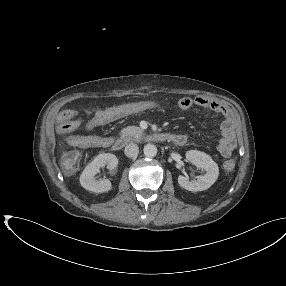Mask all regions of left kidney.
I'll list each match as a JSON object with an SVG mask.
<instances>
[{"label":"left kidney","instance_id":"left-kidney-1","mask_svg":"<svg viewBox=\"0 0 286 286\" xmlns=\"http://www.w3.org/2000/svg\"><path fill=\"white\" fill-rule=\"evenodd\" d=\"M186 159L198 168L205 170L206 173L193 181L179 175L178 183L182 188L192 192L203 191L215 183L219 175V168L208 154L198 150H190L186 152Z\"/></svg>","mask_w":286,"mask_h":286}]
</instances>
